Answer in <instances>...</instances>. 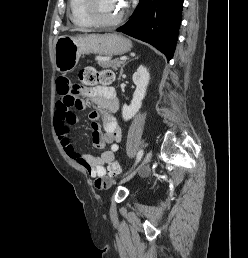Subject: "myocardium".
I'll list each match as a JSON object with an SVG mask.
<instances>
[{"label":"myocardium","mask_w":248,"mask_h":258,"mask_svg":"<svg viewBox=\"0 0 248 258\" xmlns=\"http://www.w3.org/2000/svg\"><path fill=\"white\" fill-rule=\"evenodd\" d=\"M96 0H84L83 9L84 13L90 22L93 25L101 26V27H111L118 25L121 23L125 17V10L123 9L122 13L113 20H103L97 17L94 7H95Z\"/></svg>","instance_id":"1"}]
</instances>
